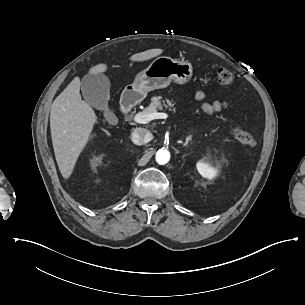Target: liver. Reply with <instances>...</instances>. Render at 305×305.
Wrapping results in <instances>:
<instances>
[{
  "label": "liver",
  "instance_id": "liver-1",
  "mask_svg": "<svg viewBox=\"0 0 305 305\" xmlns=\"http://www.w3.org/2000/svg\"><path fill=\"white\" fill-rule=\"evenodd\" d=\"M162 49H150L130 57L145 61L160 55ZM106 64L90 68L89 73L105 72ZM80 79L75 77L51 105L50 128L55 158L62 176L72 174L77 158L88 142L97 117L91 106L81 99Z\"/></svg>",
  "mask_w": 305,
  "mask_h": 305
}]
</instances>
